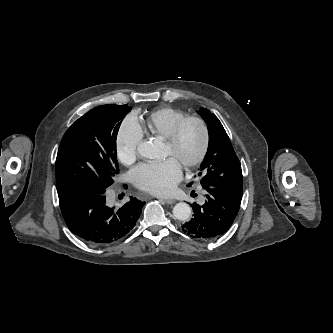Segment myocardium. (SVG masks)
<instances>
[{
	"mask_svg": "<svg viewBox=\"0 0 333 333\" xmlns=\"http://www.w3.org/2000/svg\"><path fill=\"white\" fill-rule=\"evenodd\" d=\"M189 124H196L201 130V147L196 155V157L190 161L183 163V166L186 169H193L199 166L205 159L210 146V130L207 123L200 117L197 116H187L184 119L180 120L172 129L170 135L166 138L167 144L175 149L179 144L181 135L185 127Z\"/></svg>",
	"mask_w": 333,
	"mask_h": 333,
	"instance_id": "obj_1",
	"label": "myocardium"
}]
</instances>
